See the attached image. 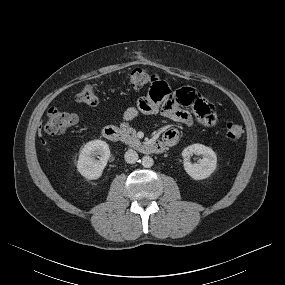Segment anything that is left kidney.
<instances>
[{
	"instance_id": "1",
	"label": "left kidney",
	"mask_w": 285,
	"mask_h": 285,
	"mask_svg": "<svg viewBox=\"0 0 285 285\" xmlns=\"http://www.w3.org/2000/svg\"><path fill=\"white\" fill-rule=\"evenodd\" d=\"M195 155H203L199 164H192L189 159ZM182 156L184 158V169L195 180H202L209 177L217 167L216 153L210 148L202 144H192L186 147Z\"/></svg>"
}]
</instances>
